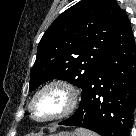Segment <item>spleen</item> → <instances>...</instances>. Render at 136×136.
Returning <instances> with one entry per match:
<instances>
[{
  "label": "spleen",
  "mask_w": 136,
  "mask_h": 136,
  "mask_svg": "<svg viewBox=\"0 0 136 136\" xmlns=\"http://www.w3.org/2000/svg\"><path fill=\"white\" fill-rule=\"evenodd\" d=\"M76 136H97V135L85 129H76Z\"/></svg>",
  "instance_id": "spleen-1"
}]
</instances>
